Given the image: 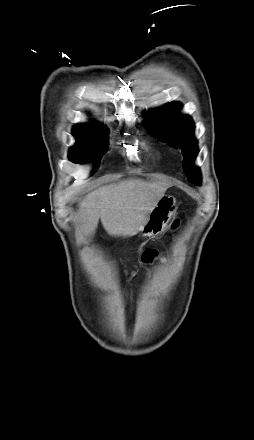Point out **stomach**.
Wrapping results in <instances>:
<instances>
[{
	"label": "stomach",
	"instance_id": "obj_1",
	"mask_svg": "<svg viewBox=\"0 0 254 440\" xmlns=\"http://www.w3.org/2000/svg\"><path fill=\"white\" fill-rule=\"evenodd\" d=\"M176 210V199L174 197L168 195L161 197L150 211L146 224L140 230L142 236L155 237L160 234L166 228Z\"/></svg>",
	"mask_w": 254,
	"mask_h": 440
}]
</instances>
